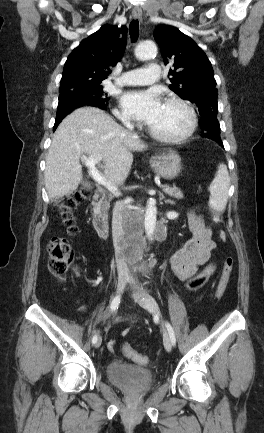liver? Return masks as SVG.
<instances>
[{"label": "liver", "mask_w": 264, "mask_h": 433, "mask_svg": "<svg viewBox=\"0 0 264 433\" xmlns=\"http://www.w3.org/2000/svg\"><path fill=\"white\" fill-rule=\"evenodd\" d=\"M145 149L144 142L103 110L83 107L73 111L55 131L46 158L44 178L50 200L62 198L78 188L82 180V155H101L103 177L118 186L128 177L133 152Z\"/></svg>", "instance_id": "1"}]
</instances>
